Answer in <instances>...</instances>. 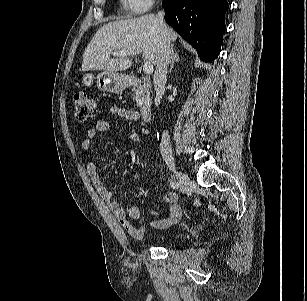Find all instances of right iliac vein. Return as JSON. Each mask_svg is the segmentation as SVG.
Masks as SVG:
<instances>
[{
	"instance_id": "1",
	"label": "right iliac vein",
	"mask_w": 307,
	"mask_h": 301,
	"mask_svg": "<svg viewBox=\"0 0 307 301\" xmlns=\"http://www.w3.org/2000/svg\"><path fill=\"white\" fill-rule=\"evenodd\" d=\"M166 162H167V165L170 168V170L172 172H174L176 178L178 179V181H179V183H180V185L182 187V190L186 191L187 186H188V184L190 182L189 177L185 173L181 172L178 169V167L175 164V161L172 158H168Z\"/></svg>"
}]
</instances>
